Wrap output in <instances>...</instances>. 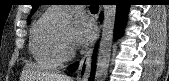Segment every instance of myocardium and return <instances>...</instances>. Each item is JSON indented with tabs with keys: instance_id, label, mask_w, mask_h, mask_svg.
Wrapping results in <instances>:
<instances>
[{
	"instance_id": "myocardium-1",
	"label": "myocardium",
	"mask_w": 169,
	"mask_h": 81,
	"mask_svg": "<svg viewBox=\"0 0 169 81\" xmlns=\"http://www.w3.org/2000/svg\"><path fill=\"white\" fill-rule=\"evenodd\" d=\"M56 40H57V46H58V50H59V53L61 55V58L62 59L71 58L73 56V50L69 45H67L63 41L59 31H57Z\"/></svg>"
}]
</instances>
